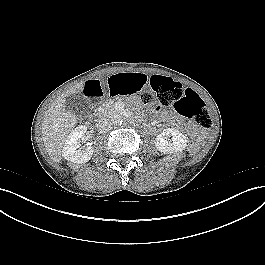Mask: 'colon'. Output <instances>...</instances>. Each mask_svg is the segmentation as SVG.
I'll return each mask as SVG.
<instances>
[{"label": "colon", "instance_id": "1", "mask_svg": "<svg viewBox=\"0 0 265 265\" xmlns=\"http://www.w3.org/2000/svg\"><path fill=\"white\" fill-rule=\"evenodd\" d=\"M149 84L153 91H144L141 94V100L145 105L173 106L178 114L193 118L201 127H211L210 113L194 90L184 88L179 82L159 74L153 75Z\"/></svg>", "mask_w": 265, "mask_h": 265}]
</instances>
